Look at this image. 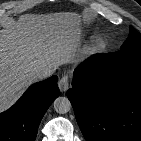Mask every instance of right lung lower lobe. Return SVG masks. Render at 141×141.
<instances>
[{
	"label": "right lung lower lobe",
	"mask_w": 141,
	"mask_h": 141,
	"mask_svg": "<svg viewBox=\"0 0 141 141\" xmlns=\"http://www.w3.org/2000/svg\"><path fill=\"white\" fill-rule=\"evenodd\" d=\"M57 76L33 84L9 110L0 114V141H35L39 124L60 95Z\"/></svg>",
	"instance_id": "right-lung-lower-lobe-1"
}]
</instances>
